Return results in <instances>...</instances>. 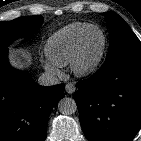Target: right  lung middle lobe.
Instances as JSON below:
<instances>
[{
    "label": "right lung middle lobe",
    "mask_w": 141,
    "mask_h": 141,
    "mask_svg": "<svg viewBox=\"0 0 141 141\" xmlns=\"http://www.w3.org/2000/svg\"><path fill=\"white\" fill-rule=\"evenodd\" d=\"M43 23V17L24 16L12 21L0 23V49L7 48L19 37L32 35Z\"/></svg>",
    "instance_id": "1"
}]
</instances>
